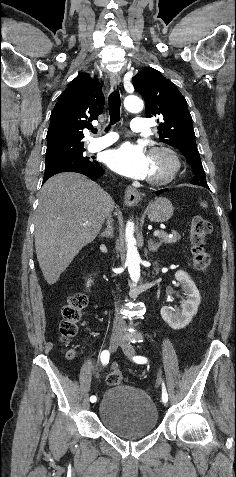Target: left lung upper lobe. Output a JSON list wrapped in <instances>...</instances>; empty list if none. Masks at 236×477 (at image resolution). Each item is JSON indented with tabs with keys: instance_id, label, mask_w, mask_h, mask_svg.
Instances as JSON below:
<instances>
[{
	"instance_id": "left-lung-upper-lobe-1",
	"label": "left lung upper lobe",
	"mask_w": 236,
	"mask_h": 477,
	"mask_svg": "<svg viewBox=\"0 0 236 477\" xmlns=\"http://www.w3.org/2000/svg\"><path fill=\"white\" fill-rule=\"evenodd\" d=\"M133 86L146 102V117H158L162 142L177 148L191 166L192 184L207 186L205 172L196 148L192 117L177 87L159 71L146 67L133 77ZM158 119V123H159Z\"/></svg>"
}]
</instances>
